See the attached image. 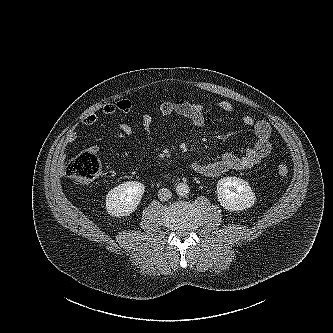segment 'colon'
<instances>
[{
    "label": "colon",
    "instance_id": "1",
    "mask_svg": "<svg viewBox=\"0 0 333 333\" xmlns=\"http://www.w3.org/2000/svg\"><path fill=\"white\" fill-rule=\"evenodd\" d=\"M278 173L286 176L289 172L287 164L280 162L277 166ZM65 173L76 185H89L102 173V168L97 156L86 150L68 160Z\"/></svg>",
    "mask_w": 333,
    "mask_h": 333
}]
</instances>
